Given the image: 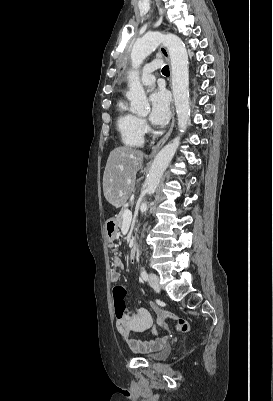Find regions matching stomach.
<instances>
[{
    "label": "stomach",
    "mask_w": 273,
    "mask_h": 401,
    "mask_svg": "<svg viewBox=\"0 0 273 401\" xmlns=\"http://www.w3.org/2000/svg\"><path fill=\"white\" fill-rule=\"evenodd\" d=\"M105 233L107 237V241H114L117 233H118V227L116 223V219L112 217V219H108L105 223Z\"/></svg>",
    "instance_id": "stomach-1"
}]
</instances>
